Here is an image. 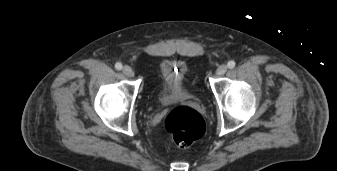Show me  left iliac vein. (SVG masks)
<instances>
[{
    "instance_id": "obj_1",
    "label": "left iliac vein",
    "mask_w": 337,
    "mask_h": 171,
    "mask_svg": "<svg viewBox=\"0 0 337 171\" xmlns=\"http://www.w3.org/2000/svg\"><path fill=\"white\" fill-rule=\"evenodd\" d=\"M227 69L228 67L225 64L220 65L216 70V75L218 76L224 75Z\"/></svg>"
}]
</instances>
